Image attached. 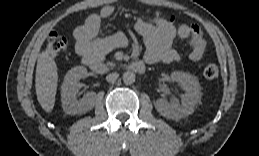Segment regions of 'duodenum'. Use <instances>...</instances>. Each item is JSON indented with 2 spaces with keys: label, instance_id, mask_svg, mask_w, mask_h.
<instances>
[{
  "label": "duodenum",
  "instance_id": "obj_1",
  "mask_svg": "<svg viewBox=\"0 0 259 156\" xmlns=\"http://www.w3.org/2000/svg\"><path fill=\"white\" fill-rule=\"evenodd\" d=\"M85 64H87L94 72L103 74L109 71L110 67L101 60L85 56L83 57ZM127 68L135 73L142 74L145 72V64L141 61H136L127 66Z\"/></svg>",
  "mask_w": 259,
  "mask_h": 156
}]
</instances>
